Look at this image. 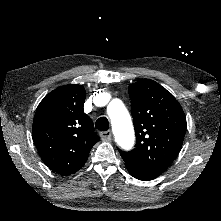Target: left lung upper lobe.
<instances>
[{
    "mask_svg": "<svg viewBox=\"0 0 221 221\" xmlns=\"http://www.w3.org/2000/svg\"><path fill=\"white\" fill-rule=\"evenodd\" d=\"M129 95L136 148L120 154L127 169L152 180L177 157L186 131L185 114L174 96L153 80L129 85Z\"/></svg>",
    "mask_w": 221,
    "mask_h": 221,
    "instance_id": "left-lung-upper-lobe-1",
    "label": "left lung upper lobe"
}]
</instances>
